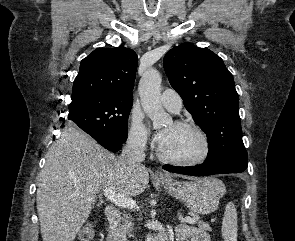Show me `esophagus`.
Masks as SVG:
<instances>
[{"instance_id":"1","label":"esophagus","mask_w":295,"mask_h":241,"mask_svg":"<svg viewBox=\"0 0 295 241\" xmlns=\"http://www.w3.org/2000/svg\"><path fill=\"white\" fill-rule=\"evenodd\" d=\"M154 176H155L156 178H160V179H169V176L166 175V174H164V173L161 172V171H155Z\"/></svg>"}]
</instances>
